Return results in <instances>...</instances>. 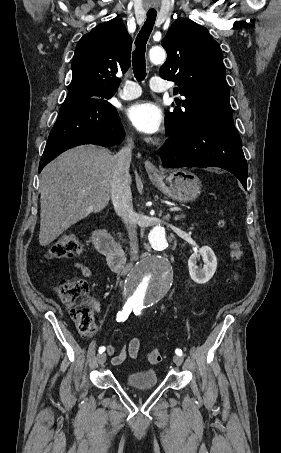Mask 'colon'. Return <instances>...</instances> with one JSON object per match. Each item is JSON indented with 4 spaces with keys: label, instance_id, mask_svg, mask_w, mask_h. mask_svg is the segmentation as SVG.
I'll list each match as a JSON object with an SVG mask.
<instances>
[{
    "label": "colon",
    "instance_id": "obj_1",
    "mask_svg": "<svg viewBox=\"0 0 281 453\" xmlns=\"http://www.w3.org/2000/svg\"><path fill=\"white\" fill-rule=\"evenodd\" d=\"M227 219L220 215L216 221L218 229L226 227ZM233 257L236 265L235 273L239 277L244 265V255L241 245L235 242L232 247ZM86 255V248L79 240L74 238H59L53 240L47 248V256L52 261L62 262L74 257ZM88 293V282L83 278L65 280L61 283V294L65 304L77 318V329L89 331L92 329V313L83 303ZM146 360L150 363H161L162 354L157 349H147L144 352Z\"/></svg>",
    "mask_w": 281,
    "mask_h": 453
}]
</instances>
